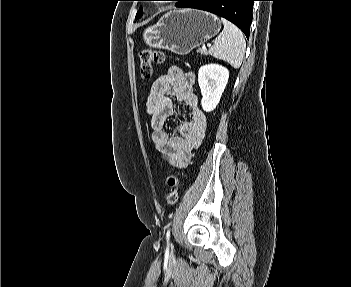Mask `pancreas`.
<instances>
[{
  "label": "pancreas",
  "instance_id": "obj_1",
  "mask_svg": "<svg viewBox=\"0 0 351 287\" xmlns=\"http://www.w3.org/2000/svg\"><path fill=\"white\" fill-rule=\"evenodd\" d=\"M198 52L204 55L207 54V51L205 49H199Z\"/></svg>",
  "mask_w": 351,
  "mask_h": 287
}]
</instances>
